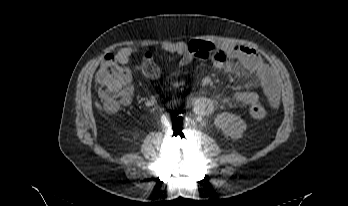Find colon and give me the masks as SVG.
I'll return each instance as SVG.
<instances>
[{"mask_svg": "<svg viewBox=\"0 0 348 206\" xmlns=\"http://www.w3.org/2000/svg\"><path fill=\"white\" fill-rule=\"evenodd\" d=\"M140 60V66L145 75L149 77L158 75L159 69L151 54H144ZM96 80L100 98L107 112H116L122 105L129 102L132 93L131 72L115 55H107L103 59ZM249 113L253 119L261 120L267 112L265 106L258 103L251 106Z\"/></svg>", "mask_w": 348, "mask_h": 206, "instance_id": "1", "label": "colon"}]
</instances>
